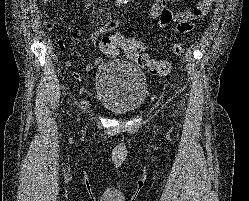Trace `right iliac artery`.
<instances>
[{"label": "right iliac artery", "instance_id": "right-iliac-artery-1", "mask_svg": "<svg viewBox=\"0 0 249 201\" xmlns=\"http://www.w3.org/2000/svg\"><path fill=\"white\" fill-rule=\"evenodd\" d=\"M126 2H127L126 0H117L116 5L120 6L121 4L126 3Z\"/></svg>", "mask_w": 249, "mask_h": 201}]
</instances>
